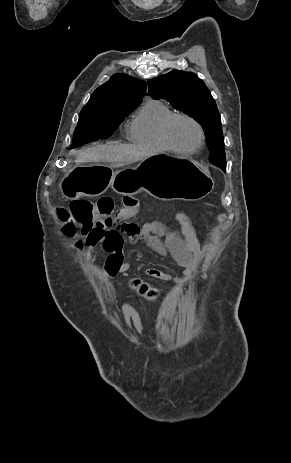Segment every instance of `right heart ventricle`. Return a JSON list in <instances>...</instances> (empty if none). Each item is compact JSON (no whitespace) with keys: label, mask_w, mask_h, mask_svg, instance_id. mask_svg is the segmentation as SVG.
Instances as JSON below:
<instances>
[{"label":"right heart ventricle","mask_w":291,"mask_h":463,"mask_svg":"<svg viewBox=\"0 0 291 463\" xmlns=\"http://www.w3.org/2000/svg\"><path fill=\"white\" fill-rule=\"evenodd\" d=\"M173 114L174 111L162 101L148 99L128 125L129 140L155 150L169 151L163 141L161 129L163 123Z\"/></svg>","instance_id":"e07e8e85"}]
</instances>
